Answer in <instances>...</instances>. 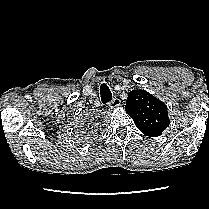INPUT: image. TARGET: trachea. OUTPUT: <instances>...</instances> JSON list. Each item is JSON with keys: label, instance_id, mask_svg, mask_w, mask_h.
Here are the masks:
<instances>
[{"label": "trachea", "instance_id": "trachea-1", "mask_svg": "<svg viewBox=\"0 0 209 209\" xmlns=\"http://www.w3.org/2000/svg\"><path fill=\"white\" fill-rule=\"evenodd\" d=\"M100 94L103 104H106L112 100V93L110 91V88L105 83L101 84L100 86Z\"/></svg>", "mask_w": 209, "mask_h": 209}]
</instances>
